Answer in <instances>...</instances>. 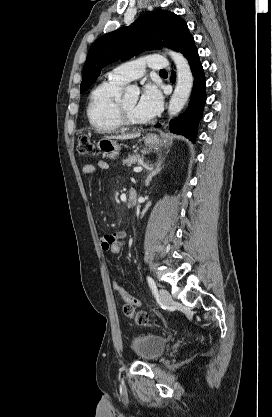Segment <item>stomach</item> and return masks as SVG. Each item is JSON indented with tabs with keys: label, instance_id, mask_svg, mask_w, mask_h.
<instances>
[{
	"label": "stomach",
	"instance_id": "obj_1",
	"mask_svg": "<svg viewBox=\"0 0 272 417\" xmlns=\"http://www.w3.org/2000/svg\"><path fill=\"white\" fill-rule=\"evenodd\" d=\"M144 143L149 149H156L168 145L167 139L160 138L155 134H149L144 137ZM97 147L103 152L104 157L115 159L119 155L120 146L113 139L102 138L98 141Z\"/></svg>",
	"mask_w": 272,
	"mask_h": 417
}]
</instances>
